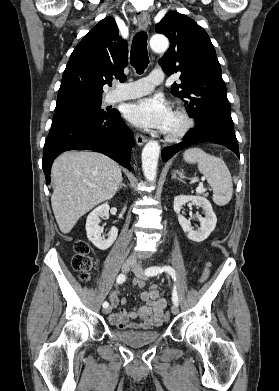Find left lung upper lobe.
Wrapping results in <instances>:
<instances>
[{
	"label": "left lung upper lobe",
	"instance_id": "left-lung-upper-lobe-1",
	"mask_svg": "<svg viewBox=\"0 0 279 391\" xmlns=\"http://www.w3.org/2000/svg\"><path fill=\"white\" fill-rule=\"evenodd\" d=\"M155 30L170 40L159 64L167 75L180 74L181 83H174L171 91L185 103L195 123L216 119L233 125L221 67L206 31L177 12L166 14Z\"/></svg>",
	"mask_w": 279,
	"mask_h": 391
}]
</instances>
